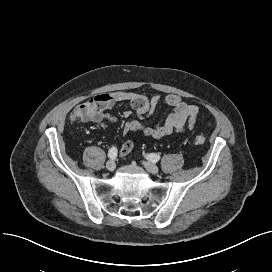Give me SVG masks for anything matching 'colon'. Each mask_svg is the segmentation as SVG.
<instances>
[{
    "mask_svg": "<svg viewBox=\"0 0 272 272\" xmlns=\"http://www.w3.org/2000/svg\"><path fill=\"white\" fill-rule=\"evenodd\" d=\"M206 139L202 135H198L194 138V143L197 145H203L205 143Z\"/></svg>",
    "mask_w": 272,
    "mask_h": 272,
    "instance_id": "colon-1",
    "label": "colon"
}]
</instances>
